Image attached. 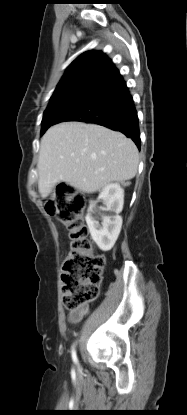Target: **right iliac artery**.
Masks as SVG:
<instances>
[{
  "label": "right iliac artery",
  "mask_w": 187,
  "mask_h": 415,
  "mask_svg": "<svg viewBox=\"0 0 187 415\" xmlns=\"http://www.w3.org/2000/svg\"><path fill=\"white\" fill-rule=\"evenodd\" d=\"M72 358H73V361L76 364H78V359H77V355H76V351H75L74 347L72 348Z\"/></svg>",
  "instance_id": "obj_1"
}]
</instances>
